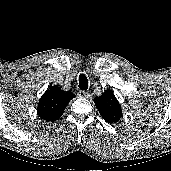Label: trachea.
<instances>
[{
	"instance_id": "1",
	"label": "trachea",
	"mask_w": 171,
	"mask_h": 171,
	"mask_svg": "<svg viewBox=\"0 0 171 171\" xmlns=\"http://www.w3.org/2000/svg\"><path fill=\"white\" fill-rule=\"evenodd\" d=\"M88 79H87V76L85 74H80L79 75V85L78 87L81 89V90H84L86 91L88 89Z\"/></svg>"
}]
</instances>
